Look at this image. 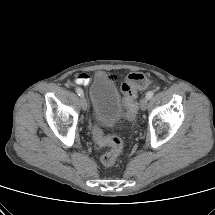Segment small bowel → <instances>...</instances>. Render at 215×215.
<instances>
[{
    "label": "small bowel",
    "instance_id": "c3829d8e",
    "mask_svg": "<svg viewBox=\"0 0 215 215\" xmlns=\"http://www.w3.org/2000/svg\"><path fill=\"white\" fill-rule=\"evenodd\" d=\"M89 82H90V77L88 74H85V73L79 74L74 79V83L78 84V85L86 86V85H88Z\"/></svg>",
    "mask_w": 215,
    "mask_h": 215
}]
</instances>
